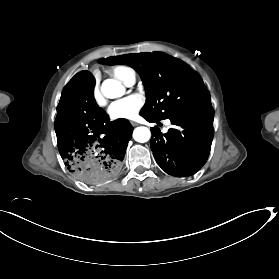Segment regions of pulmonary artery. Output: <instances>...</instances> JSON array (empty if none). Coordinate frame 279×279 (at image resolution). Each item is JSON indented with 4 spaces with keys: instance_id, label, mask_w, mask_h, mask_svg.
Returning <instances> with one entry per match:
<instances>
[{
    "instance_id": "1",
    "label": "pulmonary artery",
    "mask_w": 279,
    "mask_h": 279,
    "mask_svg": "<svg viewBox=\"0 0 279 279\" xmlns=\"http://www.w3.org/2000/svg\"><path fill=\"white\" fill-rule=\"evenodd\" d=\"M134 80H135L134 78L130 79L127 85L128 86L132 85L134 83Z\"/></svg>"
}]
</instances>
